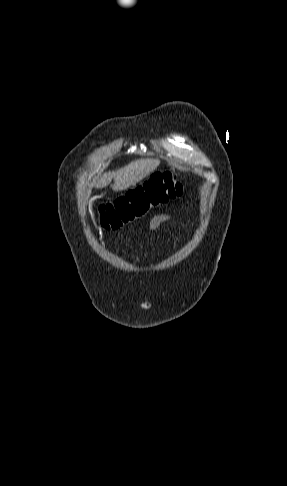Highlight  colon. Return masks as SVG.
Returning a JSON list of instances; mask_svg holds the SVG:
<instances>
[{"mask_svg": "<svg viewBox=\"0 0 287 486\" xmlns=\"http://www.w3.org/2000/svg\"><path fill=\"white\" fill-rule=\"evenodd\" d=\"M183 191V184L173 172L153 174L143 184L128 190L114 201L101 204L100 223L105 229L116 230L175 199Z\"/></svg>", "mask_w": 287, "mask_h": 486, "instance_id": "colon-1", "label": "colon"}]
</instances>
